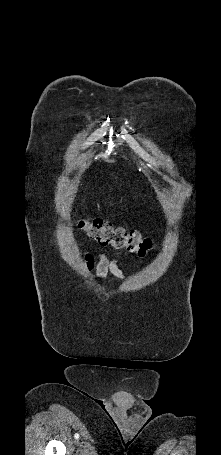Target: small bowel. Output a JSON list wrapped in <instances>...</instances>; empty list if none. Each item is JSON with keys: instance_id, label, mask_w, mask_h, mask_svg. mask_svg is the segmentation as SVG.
<instances>
[{"instance_id": "small-bowel-1", "label": "small bowel", "mask_w": 221, "mask_h": 455, "mask_svg": "<svg viewBox=\"0 0 221 455\" xmlns=\"http://www.w3.org/2000/svg\"><path fill=\"white\" fill-rule=\"evenodd\" d=\"M82 265L87 272H95L96 277L102 282L106 281L108 275H112L122 282L127 280L126 274L120 268L119 259L110 258L104 252L85 254Z\"/></svg>"}]
</instances>
